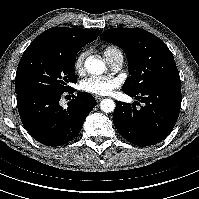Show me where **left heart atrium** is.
<instances>
[{"instance_id":"39dd6f15","label":"left heart atrium","mask_w":199,"mask_h":199,"mask_svg":"<svg viewBox=\"0 0 199 199\" xmlns=\"http://www.w3.org/2000/svg\"><path fill=\"white\" fill-rule=\"evenodd\" d=\"M118 87L119 81L109 77L92 76L80 82L82 91L98 96L109 95Z\"/></svg>"}]
</instances>
